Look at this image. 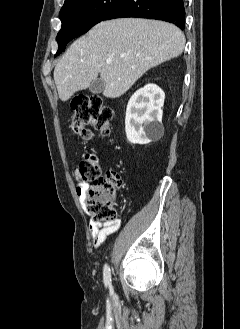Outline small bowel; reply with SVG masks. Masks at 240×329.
<instances>
[{"label": "small bowel", "mask_w": 240, "mask_h": 329, "mask_svg": "<svg viewBox=\"0 0 240 329\" xmlns=\"http://www.w3.org/2000/svg\"><path fill=\"white\" fill-rule=\"evenodd\" d=\"M88 184H77L75 191L80 203L85 204V192L88 189ZM120 226L119 221L115 220L112 222L102 223L92 220L89 224L90 235L93 239L94 246L100 247L107 236L116 232Z\"/></svg>", "instance_id": "obj_1"}]
</instances>
